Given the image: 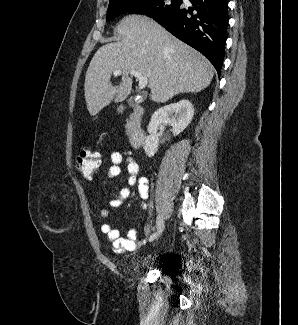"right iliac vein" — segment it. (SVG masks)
<instances>
[{"mask_svg":"<svg viewBox=\"0 0 298 325\" xmlns=\"http://www.w3.org/2000/svg\"><path fill=\"white\" fill-rule=\"evenodd\" d=\"M156 228H157L156 238H158L161 236L164 229V219L161 214H159L157 217Z\"/></svg>","mask_w":298,"mask_h":325,"instance_id":"right-iliac-vein-1","label":"right iliac vein"}]
</instances>
